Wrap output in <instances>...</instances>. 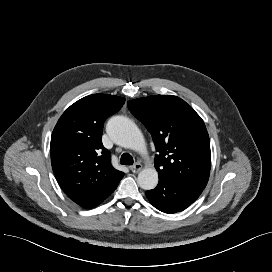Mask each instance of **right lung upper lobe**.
Returning <instances> with one entry per match:
<instances>
[{
	"label": "right lung upper lobe",
	"instance_id": "right-lung-upper-lobe-1",
	"mask_svg": "<svg viewBox=\"0 0 272 272\" xmlns=\"http://www.w3.org/2000/svg\"><path fill=\"white\" fill-rule=\"evenodd\" d=\"M125 99L106 94L86 96L71 105L58 120L51 137L54 174L75 203L93 208L118 186L124 173L113 168L102 144L104 121Z\"/></svg>",
	"mask_w": 272,
	"mask_h": 272
}]
</instances>
